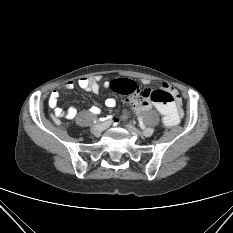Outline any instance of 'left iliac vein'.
<instances>
[{
  "label": "left iliac vein",
  "instance_id": "4c4485c4",
  "mask_svg": "<svg viewBox=\"0 0 233 233\" xmlns=\"http://www.w3.org/2000/svg\"><path fill=\"white\" fill-rule=\"evenodd\" d=\"M126 127H127V129H128L129 131H131V132H133V133H135V134H137V135H139V136H145V135H144V131H141L140 129L134 127V126L131 125V124H128Z\"/></svg>",
  "mask_w": 233,
  "mask_h": 233
}]
</instances>
